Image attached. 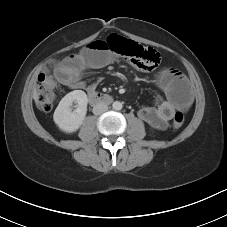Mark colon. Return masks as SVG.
I'll return each instance as SVG.
<instances>
[{
  "label": "colon",
  "mask_w": 227,
  "mask_h": 227,
  "mask_svg": "<svg viewBox=\"0 0 227 227\" xmlns=\"http://www.w3.org/2000/svg\"><path fill=\"white\" fill-rule=\"evenodd\" d=\"M105 41L111 46V51L127 58L132 64L142 71H151L160 63V54L152 48H145L131 40L118 35H111ZM57 83L52 75L47 71L38 76V106L44 112H49L53 108L56 95ZM185 121L182 112H176L172 129H180Z\"/></svg>",
  "instance_id": "5ec220e1"
}]
</instances>
